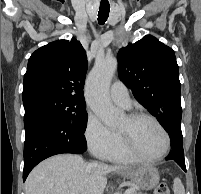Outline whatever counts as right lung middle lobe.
Here are the masks:
<instances>
[{
	"mask_svg": "<svg viewBox=\"0 0 201 194\" xmlns=\"http://www.w3.org/2000/svg\"><path fill=\"white\" fill-rule=\"evenodd\" d=\"M24 107H38L51 111L70 122L80 133L85 132L87 112L84 102L58 96H42L24 103Z\"/></svg>",
	"mask_w": 201,
	"mask_h": 194,
	"instance_id": "dd1d6c3e",
	"label": "right lung middle lobe"
}]
</instances>
